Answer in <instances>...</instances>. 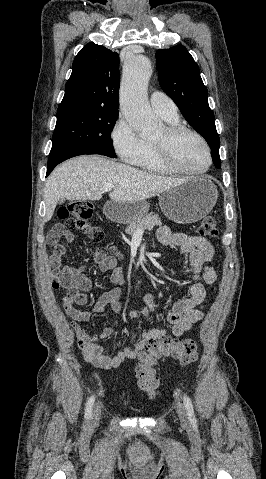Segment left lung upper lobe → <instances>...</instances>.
<instances>
[{"label": "left lung upper lobe", "mask_w": 266, "mask_h": 479, "mask_svg": "<svg viewBox=\"0 0 266 479\" xmlns=\"http://www.w3.org/2000/svg\"><path fill=\"white\" fill-rule=\"evenodd\" d=\"M156 66L162 90L178 105L188 123L199 132L211 148L212 160L221 167L220 138L214 113L208 104L207 88L193 57L183 45L156 52Z\"/></svg>", "instance_id": "1"}]
</instances>
